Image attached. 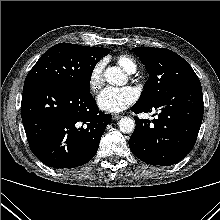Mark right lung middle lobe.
<instances>
[{
	"label": "right lung middle lobe",
	"instance_id": "dd1d6c3e",
	"mask_svg": "<svg viewBox=\"0 0 220 220\" xmlns=\"http://www.w3.org/2000/svg\"><path fill=\"white\" fill-rule=\"evenodd\" d=\"M108 53L102 47L56 44L39 58L26 76L24 85L51 82L89 89L95 65Z\"/></svg>",
	"mask_w": 220,
	"mask_h": 220
}]
</instances>
